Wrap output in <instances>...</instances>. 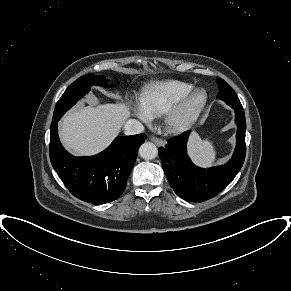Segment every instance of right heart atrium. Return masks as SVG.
Returning <instances> with one entry per match:
<instances>
[{
    "label": "right heart atrium",
    "instance_id": "1",
    "mask_svg": "<svg viewBox=\"0 0 291 291\" xmlns=\"http://www.w3.org/2000/svg\"><path fill=\"white\" fill-rule=\"evenodd\" d=\"M134 113L141 120H143V121L148 120V116L143 112V110L140 107H138V106L134 107Z\"/></svg>",
    "mask_w": 291,
    "mask_h": 291
}]
</instances>
